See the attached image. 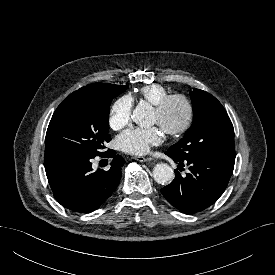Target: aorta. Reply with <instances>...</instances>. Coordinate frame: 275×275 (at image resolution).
Returning a JSON list of instances; mask_svg holds the SVG:
<instances>
[{"label":"aorta","mask_w":275,"mask_h":275,"mask_svg":"<svg viewBox=\"0 0 275 275\" xmlns=\"http://www.w3.org/2000/svg\"><path fill=\"white\" fill-rule=\"evenodd\" d=\"M152 107L145 102L139 103L132 113V120L141 127L152 125ZM174 177L173 169L166 163H159L153 168V178L159 184H167Z\"/></svg>","instance_id":"aorta-1"}]
</instances>
